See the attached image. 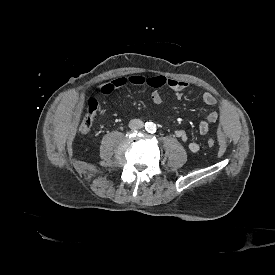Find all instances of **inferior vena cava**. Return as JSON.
<instances>
[{"mask_svg":"<svg viewBox=\"0 0 275 275\" xmlns=\"http://www.w3.org/2000/svg\"><path fill=\"white\" fill-rule=\"evenodd\" d=\"M143 126L144 122L140 119H131L128 124V127L132 130L141 129Z\"/></svg>","mask_w":275,"mask_h":275,"instance_id":"obj_1","label":"inferior vena cava"}]
</instances>
